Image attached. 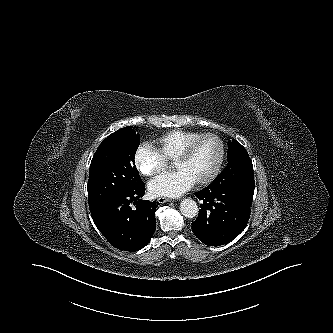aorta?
<instances>
[{
	"instance_id": "1",
	"label": "aorta",
	"mask_w": 333,
	"mask_h": 333,
	"mask_svg": "<svg viewBox=\"0 0 333 333\" xmlns=\"http://www.w3.org/2000/svg\"><path fill=\"white\" fill-rule=\"evenodd\" d=\"M180 211L186 218H194L198 214L197 203L190 198H185L180 203Z\"/></svg>"
}]
</instances>
